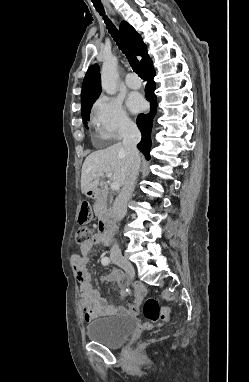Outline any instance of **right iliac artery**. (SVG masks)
I'll return each mask as SVG.
<instances>
[{
	"instance_id": "1",
	"label": "right iliac artery",
	"mask_w": 249,
	"mask_h": 382,
	"mask_svg": "<svg viewBox=\"0 0 249 382\" xmlns=\"http://www.w3.org/2000/svg\"><path fill=\"white\" fill-rule=\"evenodd\" d=\"M110 263V259L108 258V257H104L103 259H102V264L103 265H108Z\"/></svg>"
}]
</instances>
